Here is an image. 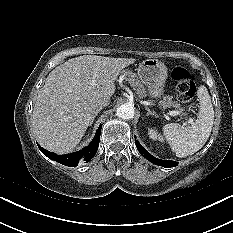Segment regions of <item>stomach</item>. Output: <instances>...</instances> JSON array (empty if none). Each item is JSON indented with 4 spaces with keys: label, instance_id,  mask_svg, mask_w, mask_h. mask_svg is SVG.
<instances>
[{
    "label": "stomach",
    "instance_id": "0dacf381",
    "mask_svg": "<svg viewBox=\"0 0 233 233\" xmlns=\"http://www.w3.org/2000/svg\"><path fill=\"white\" fill-rule=\"evenodd\" d=\"M138 76L148 88L149 96L160 98L164 93V85L167 79V67L158 59H146L139 64Z\"/></svg>",
    "mask_w": 233,
    "mask_h": 233
}]
</instances>
